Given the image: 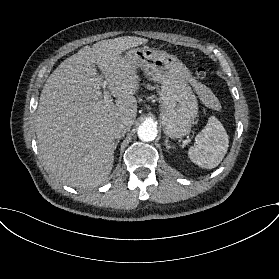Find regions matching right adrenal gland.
Masks as SVG:
<instances>
[{"label":"right adrenal gland","mask_w":279,"mask_h":279,"mask_svg":"<svg viewBox=\"0 0 279 279\" xmlns=\"http://www.w3.org/2000/svg\"><path fill=\"white\" fill-rule=\"evenodd\" d=\"M117 147V143H115V148Z\"/></svg>","instance_id":"1"}]
</instances>
